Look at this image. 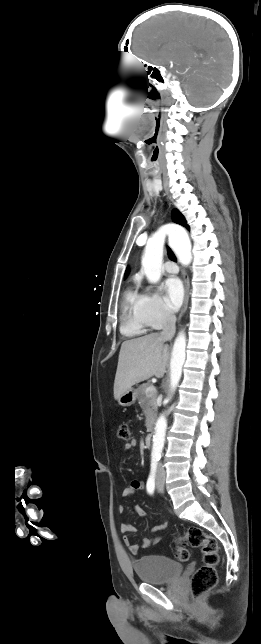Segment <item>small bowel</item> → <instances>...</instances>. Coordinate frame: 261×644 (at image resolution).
I'll use <instances>...</instances> for the list:
<instances>
[{"instance_id": "c3829d8e", "label": "small bowel", "mask_w": 261, "mask_h": 644, "mask_svg": "<svg viewBox=\"0 0 261 644\" xmlns=\"http://www.w3.org/2000/svg\"><path fill=\"white\" fill-rule=\"evenodd\" d=\"M136 444H137V442L135 440H132L129 443H126L124 445V450H126V451L131 450L136 446ZM143 487H144V483L142 481L133 480L127 487H125L123 489L122 496L123 497H130L135 492H137L138 490H141ZM119 510H120V512H123L124 511V506H120ZM134 511L139 517H145L146 516L145 510L139 505H136L134 507ZM166 527H167V522L163 521V522H161L159 524H156V525L152 526L151 527V532L162 531ZM120 530L124 534V537H123L124 543L126 544V546L128 547V549L130 550V552L132 554H137L140 551L141 548H149V547L157 544L159 542V540H160L159 537L144 538L142 540L141 544H138V543H134L131 540V537H130V533H133L135 531V527L133 525L128 524V523H123L120 526Z\"/></svg>"}]
</instances>
